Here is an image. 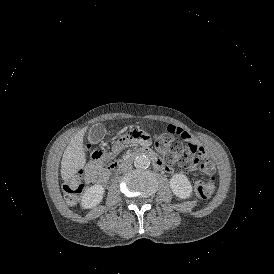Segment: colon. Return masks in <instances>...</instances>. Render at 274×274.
I'll list each match as a JSON object with an SVG mask.
<instances>
[{"mask_svg": "<svg viewBox=\"0 0 274 274\" xmlns=\"http://www.w3.org/2000/svg\"><path fill=\"white\" fill-rule=\"evenodd\" d=\"M147 136L146 131H130L126 137V142L127 144H138L139 140H146ZM82 138L84 139L85 137L83 136ZM118 140L123 142L124 137L119 136ZM155 145L158 154L171 165L178 155L186 154L190 148V143L179 140L174 134H170L167 131L156 138ZM82 187V183L78 182L77 178L64 185L63 194L67 204L73 205L77 202V195L82 191ZM194 191L199 198L207 199L214 191L212 182L197 181L194 185Z\"/></svg>", "mask_w": 274, "mask_h": 274, "instance_id": "obj_1", "label": "colon"}]
</instances>
